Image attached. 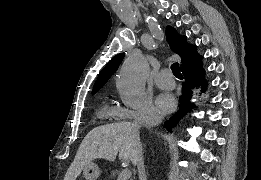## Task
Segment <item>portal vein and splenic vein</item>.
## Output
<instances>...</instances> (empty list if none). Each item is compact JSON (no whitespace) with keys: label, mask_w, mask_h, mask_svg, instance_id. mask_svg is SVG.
<instances>
[{"label":"portal vein and splenic vein","mask_w":261,"mask_h":180,"mask_svg":"<svg viewBox=\"0 0 261 180\" xmlns=\"http://www.w3.org/2000/svg\"><path fill=\"white\" fill-rule=\"evenodd\" d=\"M131 176H132L131 170H129V168H124V170H122L121 174H119L117 180H129V178H131Z\"/></svg>","instance_id":"1"}]
</instances>
